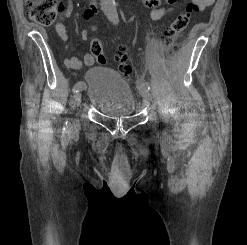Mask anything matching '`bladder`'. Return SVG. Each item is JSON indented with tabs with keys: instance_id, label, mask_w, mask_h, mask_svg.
<instances>
[{
	"instance_id": "31cf9c89",
	"label": "bladder",
	"mask_w": 247,
	"mask_h": 245,
	"mask_svg": "<svg viewBox=\"0 0 247 245\" xmlns=\"http://www.w3.org/2000/svg\"><path fill=\"white\" fill-rule=\"evenodd\" d=\"M89 102L108 116H128L137 110V100L127 80L113 69L95 66L86 73Z\"/></svg>"
}]
</instances>
